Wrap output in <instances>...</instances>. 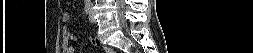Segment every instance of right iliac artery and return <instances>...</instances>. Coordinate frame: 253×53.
<instances>
[{
    "mask_svg": "<svg viewBox=\"0 0 253 53\" xmlns=\"http://www.w3.org/2000/svg\"><path fill=\"white\" fill-rule=\"evenodd\" d=\"M85 13L86 14H88L89 13V10H90V4H89V2H86V4H85Z\"/></svg>",
    "mask_w": 253,
    "mask_h": 53,
    "instance_id": "82829eb1",
    "label": "right iliac artery"
}]
</instances>
